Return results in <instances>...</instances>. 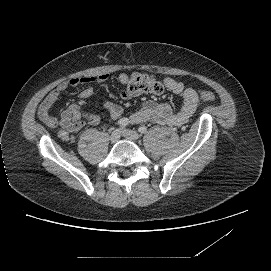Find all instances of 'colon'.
<instances>
[{"instance_id": "obj_1", "label": "colon", "mask_w": 271, "mask_h": 271, "mask_svg": "<svg viewBox=\"0 0 271 271\" xmlns=\"http://www.w3.org/2000/svg\"><path fill=\"white\" fill-rule=\"evenodd\" d=\"M126 90L130 96L142 94H160L163 91V85L152 75L135 73L131 75L126 85ZM198 94L201 99L207 102H214L215 95L207 90H200Z\"/></svg>"}]
</instances>
